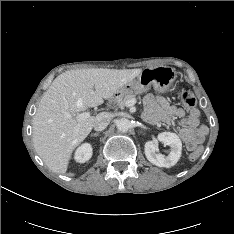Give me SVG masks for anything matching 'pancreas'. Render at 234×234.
Instances as JSON below:
<instances>
[{"instance_id": "1", "label": "pancreas", "mask_w": 234, "mask_h": 234, "mask_svg": "<svg viewBox=\"0 0 234 234\" xmlns=\"http://www.w3.org/2000/svg\"><path fill=\"white\" fill-rule=\"evenodd\" d=\"M128 100H136V96L135 95L122 96L118 100H116L115 103L118 107L123 108L125 106L126 101Z\"/></svg>"}]
</instances>
